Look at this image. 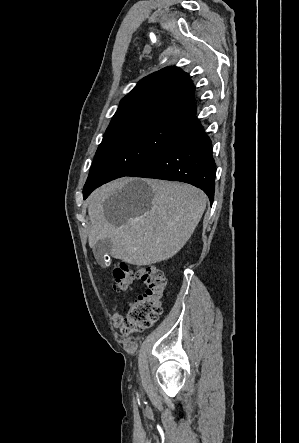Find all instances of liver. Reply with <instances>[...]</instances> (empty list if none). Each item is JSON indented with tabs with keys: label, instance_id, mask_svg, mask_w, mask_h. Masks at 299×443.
Segmentation results:
<instances>
[{
	"label": "liver",
	"instance_id": "liver-1",
	"mask_svg": "<svg viewBox=\"0 0 299 443\" xmlns=\"http://www.w3.org/2000/svg\"><path fill=\"white\" fill-rule=\"evenodd\" d=\"M205 207V194L188 184L135 178L110 182L88 198L89 246L109 239L112 257L137 266L168 260L189 240Z\"/></svg>",
	"mask_w": 299,
	"mask_h": 443
}]
</instances>
